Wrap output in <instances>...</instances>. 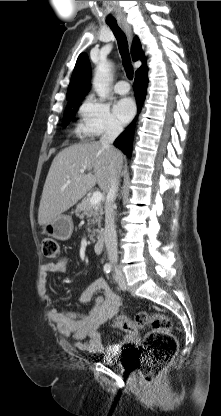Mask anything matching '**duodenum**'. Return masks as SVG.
<instances>
[{
  "instance_id": "410a0bca",
  "label": "duodenum",
  "mask_w": 221,
  "mask_h": 416,
  "mask_svg": "<svg viewBox=\"0 0 221 416\" xmlns=\"http://www.w3.org/2000/svg\"><path fill=\"white\" fill-rule=\"evenodd\" d=\"M104 248V236L100 235L93 245V250L96 254H100L103 251Z\"/></svg>"
}]
</instances>
